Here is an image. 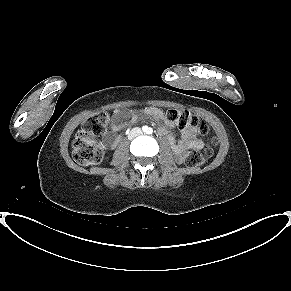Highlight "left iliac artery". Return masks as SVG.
I'll list each match as a JSON object with an SVG mask.
<instances>
[{
    "instance_id": "obj_1",
    "label": "left iliac artery",
    "mask_w": 291,
    "mask_h": 291,
    "mask_svg": "<svg viewBox=\"0 0 291 291\" xmlns=\"http://www.w3.org/2000/svg\"><path fill=\"white\" fill-rule=\"evenodd\" d=\"M152 132H153L152 128H149L148 133L151 134Z\"/></svg>"
}]
</instances>
